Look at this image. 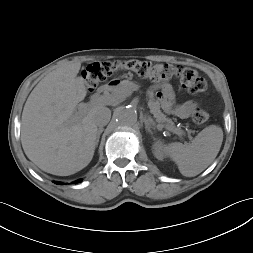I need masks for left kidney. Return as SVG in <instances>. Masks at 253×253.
Segmentation results:
<instances>
[{"instance_id":"obj_1","label":"left kidney","mask_w":253,"mask_h":253,"mask_svg":"<svg viewBox=\"0 0 253 253\" xmlns=\"http://www.w3.org/2000/svg\"><path fill=\"white\" fill-rule=\"evenodd\" d=\"M154 155L158 160H163L164 153H163V144L161 141L155 142L154 146Z\"/></svg>"}]
</instances>
